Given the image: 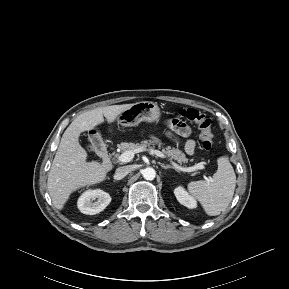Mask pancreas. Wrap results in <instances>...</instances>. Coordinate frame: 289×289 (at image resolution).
I'll return each instance as SVG.
<instances>
[{"mask_svg":"<svg viewBox=\"0 0 289 289\" xmlns=\"http://www.w3.org/2000/svg\"><path fill=\"white\" fill-rule=\"evenodd\" d=\"M149 140H142L140 143H132V142H123L118 145V148L120 151H134L138 147H146L150 145ZM162 152L166 154L168 157L176 160L178 163H186L188 162V159L186 158V155L179 149L173 148L171 146L164 147L162 149Z\"/></svg>","mask_w":289,"mask_h":289,"instance_id":"obj_1","label":"pancreas"}]
</instances>
